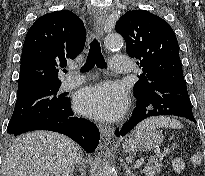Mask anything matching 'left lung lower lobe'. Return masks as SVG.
<instances>
[{"label":"left lung lower lobe","mask_w":205,"mask_h":176,"mask_svg":"<svg viewBox=\"0 0 205 176\" xmlns=\"http://www.w3.org/2000/svg\"><path fill=\"white\" fill-rule=\"evenodd\" d=\"M138 99L132 117L115 132L117 136H124L141 121L162 115L185 117L196 123L192 113L185 80L161 81L151 91L145 92Z\"/></svg>","instance_id":"1"}]
</instances>
